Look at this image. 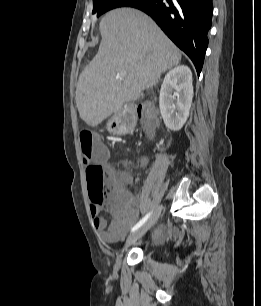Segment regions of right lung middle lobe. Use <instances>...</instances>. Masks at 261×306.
<instances>
[{
  "label": "right lung middle lobe",
  "instance_id": "dd1d6c3e",
  "mask_svg": "<svg viewBox=\"0 0 261 306\" xmlns=\"http://www.w3.org/2000/svg\"><path fill=\"white\" fill-rule=\"evenodd\" d=\"M139 0H93V14L97 13V16L103 13L123 6H131Z\"/></svg>",
  "mask_w": 261,
  "mask_h": 306
}]
</instances>
